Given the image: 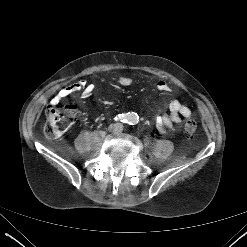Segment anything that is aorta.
<instances>
[{"label": "aorta", "mask_w": 247, "mask_h": 247, "mask_svg": "<svg viewBox=\"0 0 247 247\" xmlns=\"http://www.w3.org/2000/svg\"><path fill=\"white\" fill-rule=\"evenodd\" d=\"M127 119L130 123H136L138 121V116L136 113H129Z\"/></svg>", "instance_id": "1"}]
</instances>
